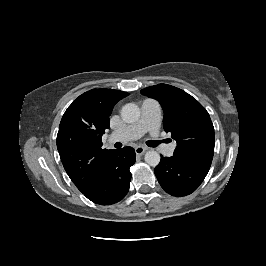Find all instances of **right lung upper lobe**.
<instances>
[{
  "label": "right lung upper lobe",
  "mask_w": 266,
  "mask_h": 266,
  "mask_svg": "<svg viewBox=\"0 0 266 266\" xmlns=\"http://www.w3.org/2000/svg\"><path fill=\"white\" fill-rule=\"evenodd\" d=\"M128 95L119 90L92 89L74 100L62 117L57 149L64 169L82 193L92 187L114 151L103 149L101 138L110 127L114 105Z\"/></svg>",
  "instance_id": "right-lung-upper-lobe-1"
}]
</instances>
